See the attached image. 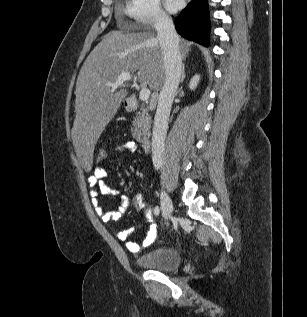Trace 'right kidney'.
<instances>
[{"instance_id":"ca27d5eb","label":"right kidney","mask_w":307,"mask_h":317,"mask_svg":"<svg viewBox=\"0 0 307 317\" xmlns=\"http://www.w3.org/2000/svg\"><path fill=\"white\" fill-rule=\"evenodd\" d=\"M200 80V76L199 75H195L191 78L190 83H189V88L191 90H194L197 87V84Z\"/></svg>"}]
</instances>
